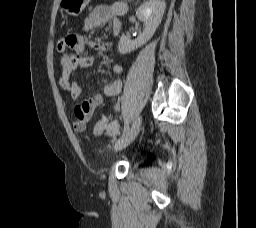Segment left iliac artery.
Segmentation results:
<instances>
[{"label":"left iliac artery","mask_w":256,"mask_h":228,"mask_svg":"<svg viewBox=\"0 0 256 228\" xmlns=\"http://www.w3.org/2000/svg\"><path fill=\"white\" fill-rule=\"evenodd\" d=\"M128 129H129V124H128V122L126 121V122L124 123V129H123L122 135H124V134L128 131Z\"/></svg>","instance_id":"obj_1"}]
</instances>
